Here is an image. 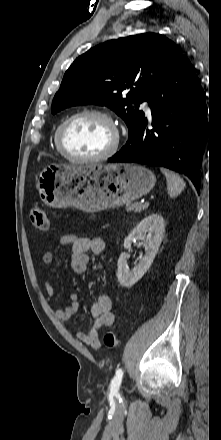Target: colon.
I'll use <instances>...</instances> for the list:
<instances>
[{
  "mask_svg": "<svg viewBox=\"0 0 221 440\" xmlns=\"http://www.w3.org/2000/svg\"><path fill=\"white\" fill-rule=\"evenodd\" d=\"M30 220L32 226L37 230H46L48 228V220L44 209L41 206H34L31 209ZM104 346L113 349L118 345L117 333L108 331L103 338Z\"/></svg>",
  "mask_w": 221,
  "mask_h": 440,
  "instance_id": "obj_1",
  "label": "colon"
}]
</instances>
